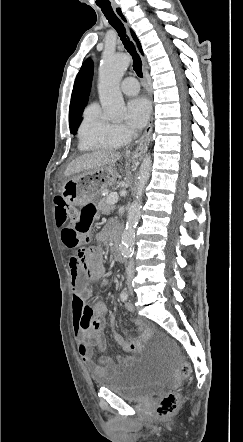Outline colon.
<instances>
[{"label":"colon","instance_id":"5ec220e1","mask_svg":"<svg viewBox=\"0 0 243 442\" xmlns=\"http://www.w3.org/2000/svg\"><path fill=\"white\" fill-rule=\"evenodd\" d=\"M55 222L57 227L62 228L61 240L68 249L81 247L88 239L89 229L95 220V207L92 203L81 208L72 207L66 199L58 195L54 198ZM83 250L73 256L79 258ZM191 372L188 362L181 364V373L184 378H188ZM179 405V395L171 391L167 393L157 405V415L168 417L174 414Z\"/></svg>","mask_w":243,"mask_h":442}]
</instances>
